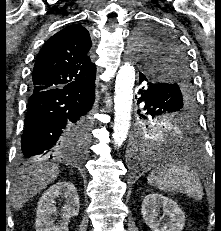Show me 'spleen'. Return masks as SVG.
Masks as SVG:
<instances>
[{"label":"spleen","instance_id":"1","mask_svg":"<svg viewBox=\"0 0 221 231\" xmlns=\"http://www.w3.org/2000/svg\"><path fill=\"white\" fill-rule=\"evenodd\" d=\"M147 180L151 186L163 192H178L195 200L203 197V187L199 177L190 171L187 165H181L174 160L159 165L149 174Z\"/></svg>","mask_w":221,"mask_h":231}]
</instances>
